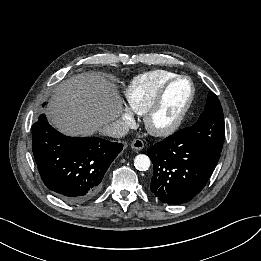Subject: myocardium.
I'll return each instance as SVG.
<instances>
[{
	"label": "myocardium",
	"mask_w": 261,
	"mask_h": 261,
	"mask_svg": "<svg viewBox=\"0 0 261 261\" xmlns=\"http://www.w3.org/2000/svg\"><path fill=\"white\" fill-rule=\"evenodd\" d=\"M181 79L188 80L190 82V86H191V93H190V96H189V99H188L186 105L184 106V108L182 109V111L180 112L178 117L170 125H168L166 127H162V128L155 126L154 119H155L156 115L158 114V112L161 110L168 92L170 91L172 86ZM194 98H195V86H194V82H193L192 78L188 75L175 76L161 88V90L157 94L156 98L154 99L153 103L151 104L150 108L144 114V125H145L146 130L150 134L157 136V137H165V136H169V135L175 133L181 127L187 114L189 113V111L192 107Z\"/></svg>",
	"instance_id": "f54148a6"
}]
</instances>
